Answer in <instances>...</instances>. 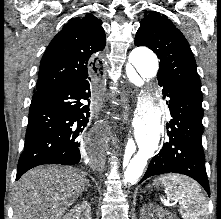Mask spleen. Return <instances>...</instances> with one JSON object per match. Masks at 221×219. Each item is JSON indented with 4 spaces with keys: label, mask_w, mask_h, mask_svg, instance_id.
Instances as JSON below:
<instances>
[{
    "label": "spleen",
    "mask_w": 221,
    "mask_h": 219,
    "mask_svg": "<svg viewBox=\"0 0 221 219\" xmlns=\"http://www.w3.org/2000/svg\"><path fill=\"white\" fill-rule=\"evenodd\" d=\"M155 184L164 186L168 194L179 200L183 219H208L206 198L195 181L184 176L169 174L159 177Z\"/></svg>",
    "instance_id": "spleen-1"
}]
</instances>
